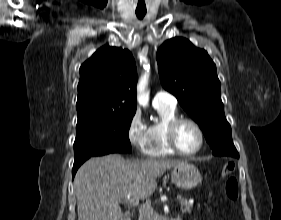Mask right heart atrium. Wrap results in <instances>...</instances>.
<instances>
[{
    "label": "right heart atrium",
    "mask_w": 281,
    "mask_h": 220,
    "mask_svg": "<svg viewBox=\"0 0 281 220\" xmlns=\"http://www.w3.org/2000/svg\"><path fill=\"white\" fill-rule=\"evenodd\" d=\"M148 136V127L142 119L141 113L135 111L127 127V138L138 151L144 152Z\"/></svg>",
    "instance_id": "obj_1"
}]
</instances>
